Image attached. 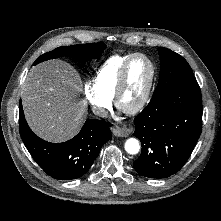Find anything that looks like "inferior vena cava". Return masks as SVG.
<instances>
[{"label":"inferior vena cava","mask_w":221,"mask_h":221,"mask_svg":"<svg viewBox=\"0 0 221 221\" xmlns=\"http://www.w3.org/2000/svg\"><path fill=\"white\" fill-rule=\"evenodd\" d=\"M93 112L95 115L99 116V117H107V111L103 108H99V107H95L93 109Z\"/></svg>","instance_id":"inferior-vena-cava-1"}]
</instances>
